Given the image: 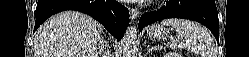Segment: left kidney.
<instances>
[{"label": "left kidney", "mask_w": 249, "mask_h": 57, "mask_svg": "<svg viewBox=\"0 0 249 57\" xmlns=\"http://www.w3.org/2000/svg\"><path fill=\"white\" fill-rule=\"evenodd\" d=\"M164 57H182V55H180L179 53H176V52H170V53H167L166 55H164Z\"/></svg>", "instance_id": "1"}]
</instances>
